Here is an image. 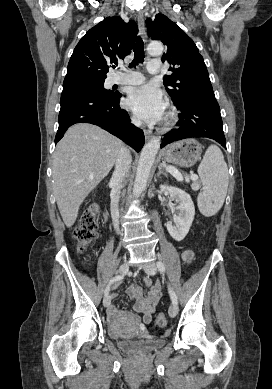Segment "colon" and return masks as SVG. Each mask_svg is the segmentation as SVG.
<instances>
[{
  "mask_svg": "<svg viewBox=\"0 0 272 389\" xmlns=\"http://www.w3.org/2000/svg\"><path fill=\"white\" fill-rule=\"evenodd\" d=\"M97 213L94 207H89L80 217L78 225L74 231V237L78 244L80 252L86 251L97 238ZM156 324L164 328L167 325V319L160 313L156 317Z\"/></svg>",
  "mask_w": 272,
  "mask_h": 389,
  "instance_id": "obj_1",
  "label": "colon"
}]
</instances>
